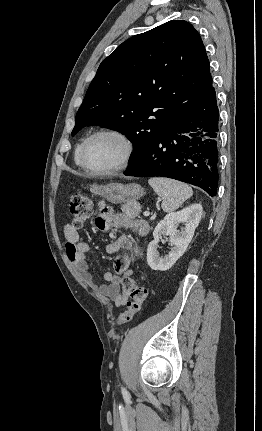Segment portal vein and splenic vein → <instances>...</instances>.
<instances>
[{
  "instance_id": "1",
  "label": "portal vein and splenic vein",
  "mask_w": 262,
  "mask_h": 431,
  "mask_svg": "<svg viewBox=\"0 0 262 431\" xmlns=\"http://www.w3.org/2000/svg\"><path fill=\"white\" fill-rule=\"evenodd\" d=\"M143 215H144V216H149V215H150V212H149V211H145V212L143 213Z\"/></svg>"
}]
</instances>
